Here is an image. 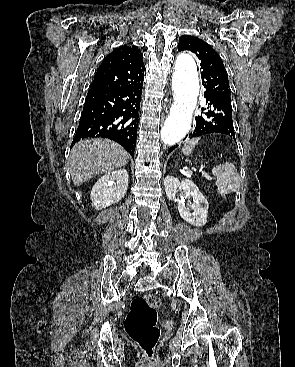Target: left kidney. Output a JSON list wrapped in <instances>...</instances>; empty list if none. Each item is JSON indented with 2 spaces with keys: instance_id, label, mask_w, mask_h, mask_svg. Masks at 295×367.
<instances>
[{
  "instance_id": "obj_1",
  "label": "left kidney",
  "mask_w": 295,
  "mask_h": 367,
  "mask_svg": "<svg viewBox=\"0 0 295 367\" xmlns=\"http://www.w3.org/2000/svg\"><path fill=\"white\" fill-rule=\"evenodd\" d=\"M164 186L167 198L178 201V211L186 222L197 227L206 224L208 201L191 180L184 179L180 182L174 176H167L164 180ZM178 189H182L184 198L189 199L187 206L182 201L176 199ZM190 210L193 212L191 213Z\"/></svg>"
}]
</instances>
